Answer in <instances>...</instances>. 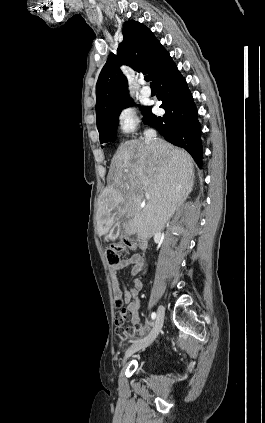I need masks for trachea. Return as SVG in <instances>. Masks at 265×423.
<instances>
[{"label":"trachea","mask_w":265,"mask_h":423,"mask_svg":"<svg viewBox=\"0 0 265 423\" xmlns=\"http://www.w3.org/2000/svg\"><path fill=\"white\" fill-rule=\"evenodd\" d=\"M145 80H146L147 82H149V81H150L149 76H145ZM151 85H152V83H151Z\"/></svg>","instance_id":"obj_1"}]
</instances>
